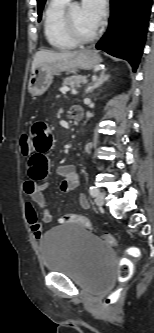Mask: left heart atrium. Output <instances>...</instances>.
Masks as SVG:
<instances>
[{"label": "left heart atrium", "mask_w": 154, "mask_h": 333, "mask_svg": "<svg viewBox=\"0 0 154 333\" xmlns=\"http://www.w3.org/2000/svg\"><path fill=\"white\" fill-rule=\"evenodd\" d=\"M81 8L85 19L97 29L104 17L105 0H83Z\"/></svg>", "instance_id": "obj_1"}]
</instances>
